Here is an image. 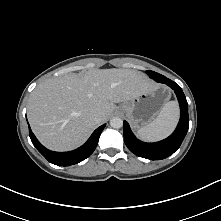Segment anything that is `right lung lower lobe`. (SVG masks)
<instances>
[{
  "label": "right lung lower lobe",
  "mask_w": 221,
  "mask_h": 221,
  "mask_svg": "<svg viewBox=\"0 0 221 221\" xmlns=\"http://www.w3.org/2000/svg\"><path fill=\"white\" fill-rule=\"evenodd\" d=\"M105 124L97 128L85 144L69 152H54L46 149L35 137L29 127V136L37 150L50 162L58 166L77 164L89 157L95 150Z\"/></svg>",
  "instance_id": "1"
}]
</instances>
